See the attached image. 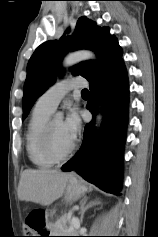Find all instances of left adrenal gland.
<instances>
[{"label": "left adrenal gland", "mask_w": 158, "mask_h": 237, "mask_svg": "<svg viewBox=\"0 0 158 237\" xmlns=\"http://www.w3.org/2000/svg\"><path fill=\"white\" fill-rule=\"evenodd\" d=\"M88 198H84L81 202H80V222H83V218H84V214L85 212L91 208L92 206L96 205V204H100L101 202L98 200L95 201H91L87 204Z\"/></svg>", "instance_id": "1"}]
</instances>
